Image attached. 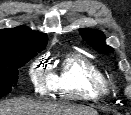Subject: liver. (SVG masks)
I'll return each mask as SVG.
<instances>
[{
    "label": "liver",
    "instance_id": "6515ba94",
    "mask_svg": "<svg viewBox=\"0 0 131 115\" xmlns=\"http://www.w3.org/2000/svg\"><path fill=\"white\" fill-rule=\"evenodd\" d=\"M0 115H98L97 111L83 106L48 103L26 99L0 102Z\"/></svg>",
    "mask_w": 131,
    "mask_h": 115
}]
</instances>
